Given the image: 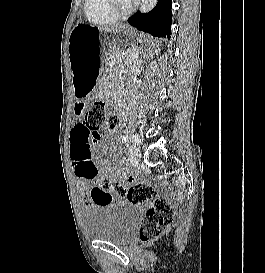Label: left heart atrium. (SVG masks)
Instances as JSON below:
<instances>
[{
    "mask_svg": "<svg viewBox=\"0 0 265 273\" xmlns=\"http://www.w3.org/2000/svg\"><path fill=\"white\" fill-rule=\"evenodd\" d=\"M130 2H135V1H137V0H129Z\"/></svg>",
    "mask_w": 265,
    "mask_h": 273,
    "instance_id": "left-heart-atrium-1",
    "label": "left heart atrium"
}]
</instances>
